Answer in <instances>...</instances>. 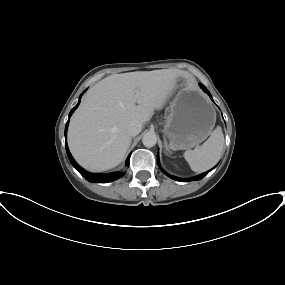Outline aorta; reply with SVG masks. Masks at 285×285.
Masks as SVG:
<instances>
[{
	"label": "aorta",
	"instance_id": "aorta-1",
	"mask_svg": "<svg viewBox=\"0 0 285 285\" xmlns=\"http://www.w3.org/2000/svg\"><path fill=\"white\" fill-rule=\"evenodd\" d=\"M156 142L157 137L154 132H147L142 138L143 145L148 148L155 146Z\"/></svg>",
	"mask_w": 285,
	"mask_h": 285
}]
</instances>
